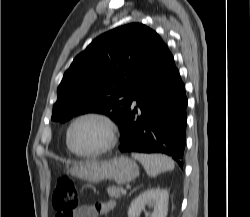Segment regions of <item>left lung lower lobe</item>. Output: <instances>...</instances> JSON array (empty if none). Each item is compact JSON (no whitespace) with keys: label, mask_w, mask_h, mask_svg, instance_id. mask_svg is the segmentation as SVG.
I'll use <instances>...</instances> for the list:
<instances>
[{"label":"left lung lower lobe","mask_w":250,"mask_h":217,"mask_svg":"<svg viewBox=\"0 0 250 217\" xmlns=\"http://www.w3.org/2000/svg\"><path fill=\"white\" fill-rule=\"evenodd\" d=\"M131 105L121 126V152L164 153L183 168L186 142L185 86L174 58L162 42L150 69L132 91Z\"/></svg>","instance_id":"1"}]
</instances>
